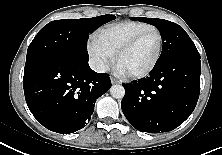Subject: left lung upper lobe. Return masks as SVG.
Here are the masks:
<instances>
[{"label":"left lung upper lobe","instance_id":"left-lung-upper-lobe-1","mask_svg":"<svg viewBox=\"0 0 222 155\" xmlns=\"http://www.w3.org/2000/svg\"><path fill=\"white\" fill-rule=\"evenodd\" d=\"M132 19L150 23L156 26L161 32L163 47L156 63L177 56L200 57L195 44L178 24L158 18L132 17Z\"/></svg>","mask_w":222,"mask_h":155}]
</instances>
